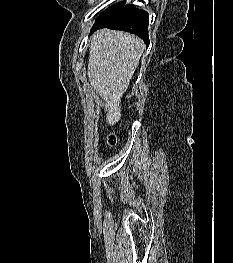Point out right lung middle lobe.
<instances>
[{"instance_id":"obj_1","label":"right lung middle lobe","mask_w":233,"mask_h":263,"mask_svg":"<svg viewBox=\"0 0 233 263\" xmlns=\"http://www.w3.org/2000/svg\"><path fill=\"white\" fill-rule=\"evenodd\" d=\"M125 6V1L111 6L95 20V23H107L113 19Z\"/></svg>"}]
</instances>
